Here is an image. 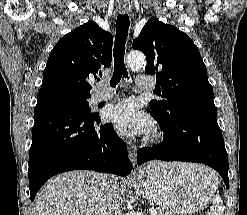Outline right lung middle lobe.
<instances>
[{
	"instance_id": "1",
	"label": "right lung middle lobe",
	"mask_w": 247,
	"mask_h": 215,
	"mask_svg": "<svg viewBox=\"0 0 247 215\" xmlns=\"http://www.w3.org/2000/svg\"><path fill=\"white\" fill-rule=\"evenodd\" d=\"M38 95L49 96L63 104L76 108L84 113H91V109L87 101L91 97V95H85L63 88L43 89L39 91Z\"/></svg>"
}]
</instances>
